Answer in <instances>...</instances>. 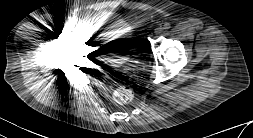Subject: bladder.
Segmentation results:
<instances>
[{"mask_svg": "<svg viewBox=\"0 0 253 138\" xmlns=\"http://www.w3.org/2000/svg\"><path fill=\"white\" fill-rule=\"evenodd\" d=\"M101 33L103 43L120 45L116 46V48L114 47V50H117V47H122L121 45L128 40L130 29L123 20H112L108 24L102 26ZM111 50H113V47Z\"/></svg>", "mask_w": 253, "mask_h": 138, "instance_id": "31cf9c89", "label": "bladder"}]
</instances>
